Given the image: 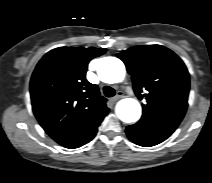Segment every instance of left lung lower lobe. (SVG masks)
<instances>
[{
  "instance_id": "left-lung-lower-lobe-1",
  "label": "left lung lower lobe",
  "mask_w": 212,
  "mask_h": 183,
  "mask_svg": "<svg viewBox=\"0 0 212 183\" xmlns=\"http://www.w3.org/2000/svg\"><path fill=\"white\" fill-rule=\"evenodd\" d=\"M175 129L140 120L126 128L129 139L140 146L150 147L166 140Z\"/></svg>"
}]
</instances>
